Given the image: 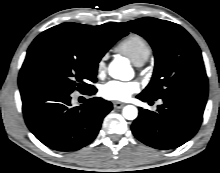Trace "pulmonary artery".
<instances>
[{
	"mask_svg": "<svg viewBox=\"0 0 220 173\" xmlns=\"http://www.w3.org/2000/svg\"><path fill=\"white\" fill-rule=\"evenodd\" d=\"M143 63H144V62H139V63H137L136 65H137V66H141Z\"/></svg>",
	"mask_w": 220,
	"mask_h": 173,
	"instance_id": "e3ab8cb5",
	"label": "pulmonary artery"
}]
</instances>
